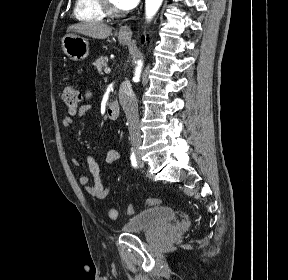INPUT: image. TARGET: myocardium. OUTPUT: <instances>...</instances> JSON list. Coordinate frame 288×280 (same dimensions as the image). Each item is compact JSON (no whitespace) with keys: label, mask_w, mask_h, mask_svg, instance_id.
<instances>
[{"label":"myocardium","mask_w":288,"mask_h":280,"mask_svg":"<svg viewBox=\"0 0 288 280\" xmlns=\"http://www.w3.org/2000/svg\"><path fill=\"white\" fill-rule=\"evenodd\" d=\"M99 1L105 14L111 16L118 14V10L111 0H99Z\"/></svg>","instance_id":"f54148a6"}]
</instances>
